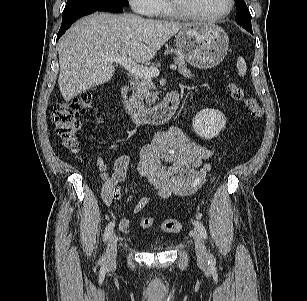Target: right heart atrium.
I'll list each match as a JSON object with an SVG mask.
<instances>
[{
  "label": "right heart atrium",
  "mask_w": 307,
  "mask_h": 301,
  "mask_svg": "<svg viewBox=\"0 0 307 301\" xmlns=\"http://www.w3.org/2000/svg\"><path fill=\"white\" fill-rule=\"evenodd\" d=\"M132 9L146 17H158L163 11L162 0H128Z\"/></svg>",
  "instance_id": "1"
}]
</instances>
